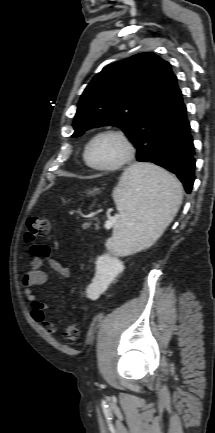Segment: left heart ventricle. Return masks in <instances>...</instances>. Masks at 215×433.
<instances>
[{"instance_id":"obj_1","label":"left heart ventricle","mask_w":215,"mask_h":433,"mask_svg":"<svg viewBox=\"0 0 215 433\" xmlns=\"http://www.w3.org/2000/svg\"><path fill=\"white\" fill-rule=\"evenodd\" d=\"M123 155V143L120 139L111 135L98 138L89 150L90 161L98 166L115 164Z\"/></svg>"}]
</instances>
